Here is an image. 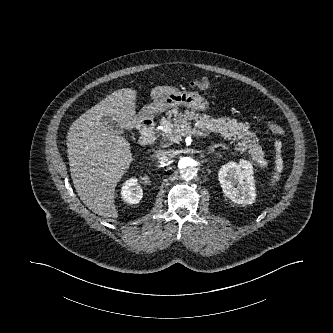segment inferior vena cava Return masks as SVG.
<instances>
[{"label": "inferior vena cava", "mask_w": 333, "mask_h": 333, "mask_svg": "<svg viewBox=\"0 0 333 333\" xmlns=\"http://www.w3.org/2000/svg\"><path fill=\"white\" fill-rule=\"evenodd\" d=\"M153 157L162 163L170 161L174 157L173 150H156L153 153Z\"/></svg>", "instance_id": "1"}]
</instances>
